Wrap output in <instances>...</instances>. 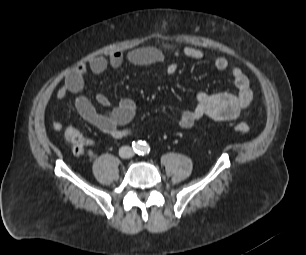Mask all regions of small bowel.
Instances as JSON below:
<instances>
[{"label":"small bowel","instance_id":"small-bowel-1","mask_svg":"<svg viewBox=\"0 0 306 255\" xmlns=\"http://www.w3.org/2000/svg\"><path fill=\"white\" fill-rule=\"evenodd\" d=\"M205 57V52L198 48L184 47L178 49L174 53V58L166 66V74L171 76L177 71L180 58L200 60ZM125 62L137 66L163 65L166 63V55L157 47L147 46L127 53L116 50L107 57H94L88 63H80L75 66L67 74L57 93L60 101L75 96L74 105L79 115L86 122L115 139L126 137L130 133L126 125L136 115L137 106L135 102L130 98H123L115 107L101 113L97 111L89 99L80 95V92L84 86V77L89 71L94 74H101L109 67L119 69ZM213 65L216 70L229 73L236 89L235 92L197 93L194 106L184 109L178 117L180 128L188 129L204 117L216 121L235 120L239 117L241 111L251 103L253 92L247 75L239 67L230 65L228 60L222 56L216 57ZM96 100L103 107L110 104L109 98L104 94H98ZM52 126L57 131L62 129V123L58 120H54Z\"/></svg>","mask_w":306,"mask_h":255}]
</instances>
